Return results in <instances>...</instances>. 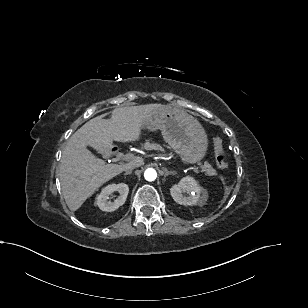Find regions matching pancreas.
Returning <instances> with one entry per match:
<instances>
[{
  "instance_id": "obj_1",
  "label": "pancreas",
  "mask_w": 308,
  "mask_h": 308,
  "mask_svg": "<svg viewBox=\"0 0 308 308\" xmlns=\"http://www.w3.org/2000/svg\"><path fill=\"white\" fill-rule=\"evenodd\" d=\"M143 147L146 150H153V149H162L160 145L156 144V143H150L149 141H146L145 144L143 145ZM205 170L207 171H211L212 167L209 163H205L204 167Z\"/></svg>"
}]
</instances>
